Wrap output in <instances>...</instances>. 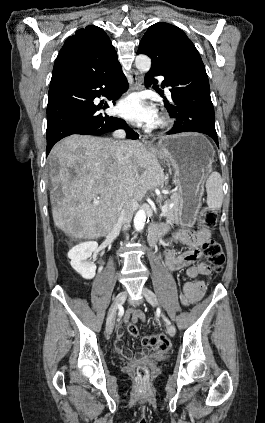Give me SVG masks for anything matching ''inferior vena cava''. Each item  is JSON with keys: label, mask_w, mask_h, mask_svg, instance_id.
Wrapping results in <instances>:
<instances>
[{"label": "inferior vena cava", "mask_w": 265, "mask_h": 423, "mask_svg": "<svg viewBox=\"0 0 265 423\" xmlns=\"http://www.w3.org/2000/svg\"><path fill=\"white\" fill-rule=\"evenodd\" d=\"M126 133L123 129H118L113 133V137L119 140L114 141L117 150V157L119 161L124 159L123 153L126 148V141L123 139L125 138ZM136 201L135 199L130 196L126 195L122 202L121 210L119 213V221L124 224V229L126 230L130 224L132 219V215L135 209Z\"/></svg>", "instance_id": "obj_1"}]
</instances>
